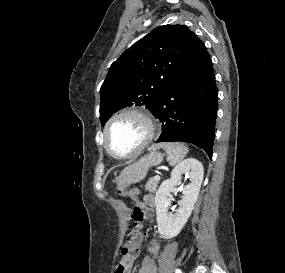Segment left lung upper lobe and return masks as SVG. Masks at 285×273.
Returning a JSON list of instances; mask_svg holds the SVG:
<instances>
[{"label":"left lung upper lobe","mask_w":285,"mask_h":273,"mask_svg":"<svg viewBox=\"0 0 285 273\" xmlns=\"http://www.w3.org/2000/svg\"><path fill=\"white\" fill-rule=\"evenodd\" d=\"M192 35L185 25H164L126 50L101 86V125L134 104L154 112L180 70Z\"/></svg>","instance_id":"obj_1"}]
</instances>
